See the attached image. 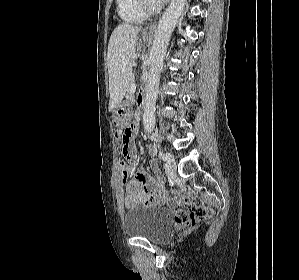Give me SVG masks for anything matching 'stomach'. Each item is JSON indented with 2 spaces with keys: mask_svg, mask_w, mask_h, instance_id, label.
Returning a JSON list of instances; mask_svg holds the SVG:
<instances>
[{
  "mask_svg": "<svg viewBox=\"0 0 299 280\" xmlns=\"http://www.w3.org/2000/svg\"><path fill=\"white\" fill-rule=\"evenodd\" d=\"M144 41H148L150 37L142 36ZM131 103L128 101L121 102L117 108L113 111V120L116 126L124 127L129 120V112H130Z\"/></svg>",
  "mask_w": 299,
  "mask_h": 280,
  "instance_id": "stomach-1",
  "label": "stomach"
}]
</instances>
